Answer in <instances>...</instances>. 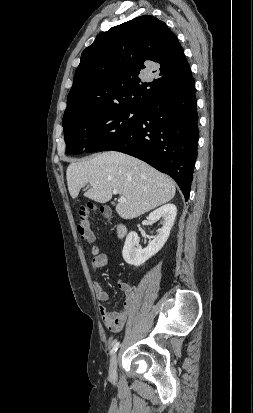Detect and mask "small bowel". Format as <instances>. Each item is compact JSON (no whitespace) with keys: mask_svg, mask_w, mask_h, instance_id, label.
<instances>
[{"mask_svg":"<svg viewBox=\"0 0 253 413\" xmlns=\"http://www.w3.org/2000/svg\"><path fill=\"white\" fill-rule=\"evenodd\" d=\"M93 255L91 259V266L94 270H101L104 268L108 262V257L104 253H100L97 247H93L91 250ZM118 287L122 290L125 295L126 299L124 301L123 307L120 311L114 312L108 310L103 303L108 301L109 295L103 289L101 284L97 281L93 283V288L96 293V298L99 302V312L101 315V319L105 327L112 331V332H119L123 329L132 306L134 304L136 290L135 287L127 281H120L118 283Z\"/></svg>","mask_w":253,"mask_h":413,"instance_id":"small-bowel-1","label":"small bowel"}]
</instances>
